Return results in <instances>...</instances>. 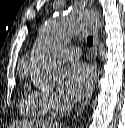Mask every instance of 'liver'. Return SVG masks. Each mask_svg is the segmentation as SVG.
Returning <instances> with one entry per match:
<instances>
[{
    "label": "liver",
    "instance_id": "1",
    "mask_svg": "<svg viewBox=\"0 0 125 128\" xmlns=\"http://www.w3.org/2000/svg\"><path fill=\"white\" fill-rule=\"evenodd\" d=\"M19 128H29L31 125L30 124H28V123H25V122H23V123H20L19 125H17Z\"/></svg>",
    "mask_w": 125,
    "mask_h": 128
}]
</instances>
